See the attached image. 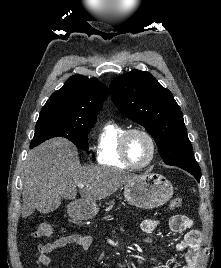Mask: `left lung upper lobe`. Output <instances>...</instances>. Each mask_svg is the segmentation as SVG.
I'll return each mask as SVG.
<instances>
[{
    "mask_svg": "<svg viewBox=\"0 0 221 268\" xmlns=\"http://www.w3.org/2000/svg\"><path fill=\"white\" fill-rule=\"evenodd\" d=\"M110 92L118 110L151 134L164 163L195 161L180 107L150 73L122 74L111 82Z\"/></svg>",
    "mask_w": 221,
    "mask_h": 268,
    "instance_id": "1",
    "label": "left lung upper lobe"
}]
</instances>
